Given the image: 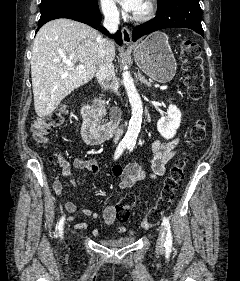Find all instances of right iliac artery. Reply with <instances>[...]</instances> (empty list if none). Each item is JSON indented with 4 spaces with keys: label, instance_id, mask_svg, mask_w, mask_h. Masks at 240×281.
Masks as SVG:
<instances>
[{
    "label": "right iliac artery",
    "instance_id": "1",
    "mask_svg": "<svg viewBox=\"0 0 240 281\" xmlns=\"http://www.w3.org/2000/svg\"><path fill=\"white\" fill-rule=\"evenodd\" d=\"M126 146H128L126 142H121L118 145V147L116 149V152H115V155H114V159L115 160L118 159L121 156V154L123 153V151L126 148ZM64 220H65V216L61 217V219H60V221L58 223V226H57V230L59 232L60 237H62V235H63Z\"/></svg>",
    "mask_w": 240,
    "mask_h": 281
}]
</instances>
